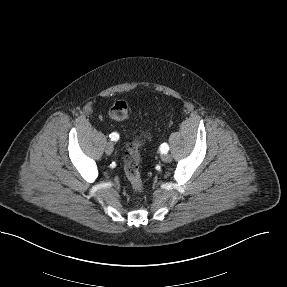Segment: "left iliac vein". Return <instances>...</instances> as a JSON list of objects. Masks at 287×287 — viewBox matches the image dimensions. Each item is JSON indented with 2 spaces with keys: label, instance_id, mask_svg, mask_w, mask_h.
Here are the masks:
<instances>
[{
  "label": "left iliac vein",
  "instance_id": "1",
  "mask_svg": "<svg viewBox=\"0 0 287 287\" xmlns=\"http://www.w3.org/2000/svg\"><path fill=\"white\" fill-rule=\"evenodd\" d=\"M161 158L164 162H170L172 160V156L167 153L163 154Z\"/></svg>",
  "mask_w": 287,
  "mask_h": 287
}]
</instances>
